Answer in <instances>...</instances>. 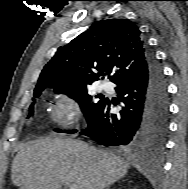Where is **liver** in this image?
Masks as SVG:
<instances>
[{"instance_id": "liver-1", "label": "liver", "mask_w": 188, "mask_h": 189, "mask_svg": "<svg viewBox=\"0 0 188 189\" xmlns=\"http://www.w3.org/2000/svg\"><path fill=\"white\" fill-rule=\"evenodd\" d=\"M128 163L111 152L79 140L47 137L20 147L11 179L20 189H105L127 174Z\"/></svg>"}]
</instances>
